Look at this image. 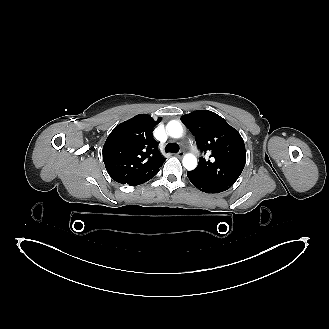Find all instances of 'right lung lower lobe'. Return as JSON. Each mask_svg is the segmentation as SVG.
Listing matches in <instances>:
<instances>
[{
	"label": "right lung lower lobe",
	"mask_w": 329,
	"mask_h": 329,
	"mask_svg": "<svg viewBox=\"0 0 329 329\" xmlns=\"http://www.w3.org/2000/svg\"><path fill=\"white\" fill-rule=\"evenodd\" d=\"M159 170H157L155 173H153L148 179H146L145 181L141 182L140 184L142 183H145L146 181L150 180L151 178H153L157 173H158ZM139 185V184H138Z\"/></svg>",
	"instance_id": "right-lung-lower-lobe-1"
}]
</instances>
